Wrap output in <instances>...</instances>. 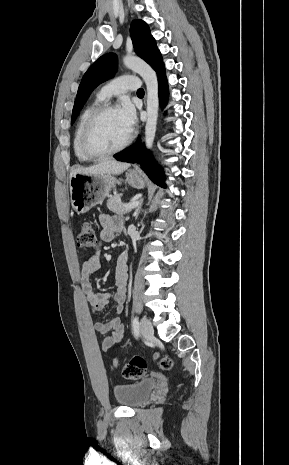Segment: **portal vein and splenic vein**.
I'll return each instance as SVG.
<instances>
[{
    "label": "portal vein and splenic vein",
    "instance_id": "obj_1",
    "mask_svg": "<svg viewBox=\"0 0 289 465\" xmlns=\"http://www.w3.org/2000/svg\"><path fill=\"white\" fill-rule=\"evenodd\" d=\"M139 205V201H132V202H129L127 204H125L126 208H135Z\"/></svg>",
    "mask_w": 289,
    "mask_h": 465
}]
</instances>
